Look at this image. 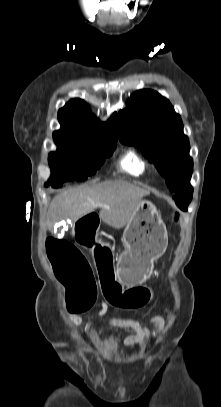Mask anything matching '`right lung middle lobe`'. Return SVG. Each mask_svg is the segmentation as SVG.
<instances>
[{
  "mask_svg": "<svg viewBox=\"0 0 221 407\" xmlns=\"http://www.w3.org/2000/svg\"><path fill=\"white\" fill-rule=\"evenodd\" d=\"M56 152L49 154L52 175L45 186L60 187L73 180H86L113 153L116 142L107 144L55 140Z\"/></svg>",
  "mask_w": 221,
  "mask_h": 407,
  "instance_id": "right-lung-middle-lobe-1",
  "label": "right lung middle lobe"
}]
</instances>
